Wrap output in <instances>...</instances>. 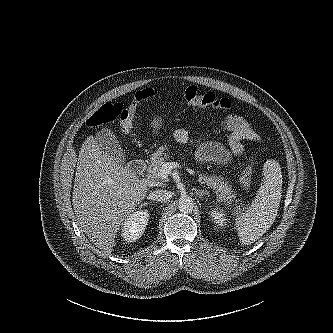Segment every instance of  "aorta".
Masks as SVG:
<instances>
[{
    "instance_id": "1",
    "label": "aorta",
    "mask_w": 333,
    "mask_h": 333,
    "mask_svg": "<svg viewBox=\"0 0 333 333\" xmlns=\"http://www.w3.org/2000/svg\"><path fill=\"white\" fill-rule=\"evenodd\" d=\"M178 208L181 213L189 214L193 211L194 203L191 197L188 195H182L179 198Z\"/></svg>"
}]
</instances>
